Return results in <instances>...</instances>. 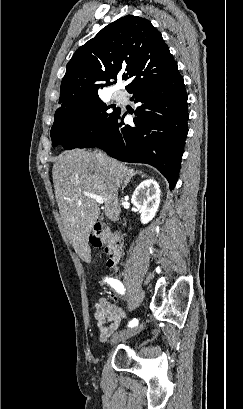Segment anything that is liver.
Returning a JSON list of instances; mask_svg holds the SVG:
<instances>
[{
	"instance_id": "obj_1",
	"label": "liver",
	"mask_w": 243,
	"mask_h": 409,
	"mask_svg": "<svg viewBox=\"0 0 243 409\" xmlns=\"http://www.w3.org/2000/svg\"><path fill=\"white\" fill-rule=\"evenodd\" d=\"M134 174L108 156L100 162L95 152L75 149L57 157L52 169L55 197L66 235L78 254L89 251L88 238L100 214L97 202L83 192L101 196L106 216L115 222L121 212L118 189Z\"/></svg>"
}]
</instances>
